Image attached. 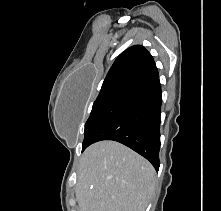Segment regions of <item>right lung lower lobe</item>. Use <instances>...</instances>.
Listing matches in <instances>:
<instances>
[{
  "mask_svg": "<svg viewBox=\"0 0 221 211\" xmlns=\"http://www.w3.org/2000/svg\"><path fill=\"white\" fill-rule=\"evenodd\" d=\"M161 103L159 80L139 88L82 151L94 142L114 140L145 157L158 171Z\"/></svg>",
  "mask_w": 221,
  "mask_h": 211,
  "instance_id": "right-lung-lower-lobe-1",
  "label": "right lung lower lobe"
}]
</instances>
